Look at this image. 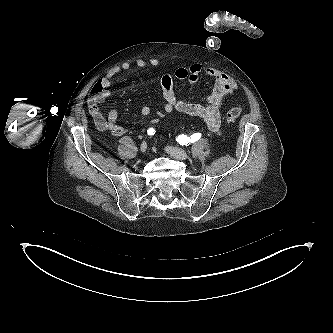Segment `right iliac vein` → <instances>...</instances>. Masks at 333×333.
I'll return each mask as SVG.
<instances>
[{"label": "right iliac vein", "mask_w": 333, "mask_h": 333, "mask_svg": "<svg viewBox=\"0 0 333 333\" xmlns=\"http://www.w3.org/2000/svg\"><path fill=\"white\" fill-rule=\"evenodd\" d=\"M146 149H147V143H146V142H143V143L141 144V146H140V150H141V152H145Z\"/></svg>", "instance_id": "63e3f726"}]
</instances>
